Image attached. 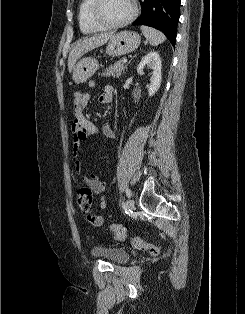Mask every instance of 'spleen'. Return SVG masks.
<instances>
[{
    "mask_svg": "<svg viewBox=\"0 0 245 314\" xmlns=\"http://www.w3.org/2000/svg\"><path fill=\"white\" fill-rule=\"evenodd\" d=\"M140 29L152 46H157L166 40L164 34L157 29L145 25H142Z\"/></svg>",
    "mask_w": 245,
    "mask_h": 314,
    "instance_id": "obj_1",
    "label": "spleen"
}]
</instances>
